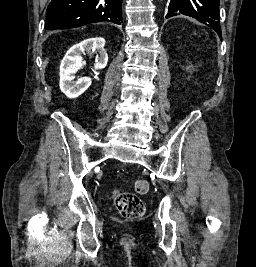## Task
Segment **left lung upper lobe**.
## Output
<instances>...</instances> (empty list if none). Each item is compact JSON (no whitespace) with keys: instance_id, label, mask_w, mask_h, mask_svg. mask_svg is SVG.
<instances>
[{"instance_id":"1","label":"left lung upper lobe","mask_w":256,"mask_h":267,"mask_svg":"<svg viewBox=\"0 0 256 267\" xmlns=\"http://www.w3.org/2000/svg\"><path fill=\"white\" fill-rule=\"evenodd\" d=\"M186 15L214 29L220 39L219 0H171L166 18Z\"/></svg>"}]
</instances>
